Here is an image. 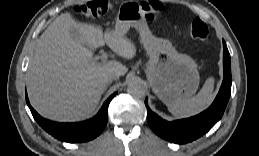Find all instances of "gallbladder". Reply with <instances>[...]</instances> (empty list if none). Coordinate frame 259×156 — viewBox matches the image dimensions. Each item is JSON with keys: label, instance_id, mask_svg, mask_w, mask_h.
I'll list each match as a JSON object with an SVG mask.
<instances>
[{"label": "gallbladder", "instance_id": "gallbladder-1", "mask_svg": "<svg viewBox=\"0 0 259 156\" xmlns=\"http://www.w3.org/2000/svg\"><path fill=\"white\" fill-rule=\"evenodd\" d=\"M72 36L74 39H78L79 38V34L77 33V31L75 29L71 30Z\"/></svg>", "mask_w": 259, "mask_h": 156}]
</instances>
